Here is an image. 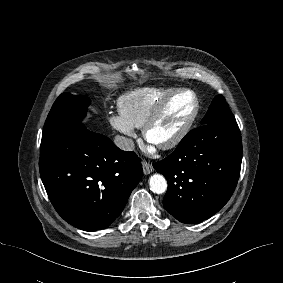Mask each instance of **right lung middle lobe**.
I'll return each mask as SVG.
<instances>
[{"label":"right lung middle lobe","instance_id":"obj_1","mask_svg":"<svg viewBox=\"0 0 283 283\" xmlns=\"http://www.w3.org/2000/svg\"><path fill=\"white\" fill-rule=\"evenodd\" d=\"M90 100L86 96L61 94L54 102L46 119L42 141L41 156H45L56 148L79 126L85 116Z\"/></svg>","mask_w":283,"mask_h":283}]
</instances>
